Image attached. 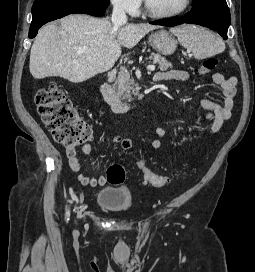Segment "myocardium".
Instances as JSON below:
<instances>
[{
  "label": "myocardium",
  "mask_w": 255,
  "mask_h": 272,
  "mask_svg": "<svg viewBox=\"0 0 255 272\" xmlns=\"http://www.w3.org/2000/svg\"><path fill=\"white\" fill-rule=\"evenodd\" d=\"M191 1L192 0H185L182 7H180L177 10L170 11V12L158 13V12H155L152 9H150V7H149V5L147 3V0H144V12L149 17L156 18V19L173 18V17H176V16L181 15L182 13H184L189 8V6L191 4Z\"/></svg>",
  "instance_id": "1"
}]
</instances>
